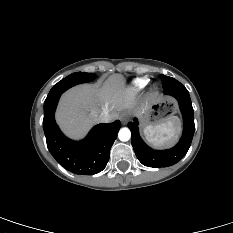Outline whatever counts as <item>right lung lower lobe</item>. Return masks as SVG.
<instances>
[{
    "mask_svg": "<svg viewBox=\"0 0 233 233\" xmlns=\"http://www.w3.org/2000/svg\"><path fill=\"white\" fill-rule=\"evenodd\" d=\"M60 96L47 98L44 102L43 129L50 153L61 166L75 174L101 172L109 160L110 148L121 127L120 121L98 124L85 139L72 141L63 135L55 122L54 113Z\"/></svg>",
    "mask_w": 233,
    "mask_h": 233,
    "instance_id": "right-lung-lower-lobe-1",
    "label": "right lung lower lobe"
}]
</instances>
